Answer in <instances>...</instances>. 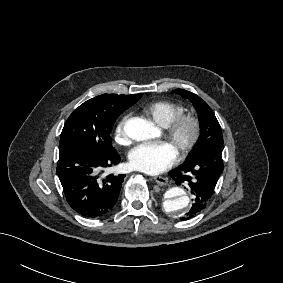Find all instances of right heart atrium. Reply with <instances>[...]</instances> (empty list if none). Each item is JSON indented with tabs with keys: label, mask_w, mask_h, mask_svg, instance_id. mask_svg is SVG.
<instances>
[{
	"label": "right heart atrium",
	"mask_w": 283,
	"mask_h": 283,
	"mask_svg": "<svg viewBox=\"0 0 283 283\" xmlns=\"http://www.w3.org/2000/svg\"><path fill=\"white\" fill-rule=\"evenodd\" d=\"M129 118L128 114H125L120 118V120L116 123L113 131L114 140L116 143L120 145H128L130 142L129 136L125 131V124Z\"/></svg>",
	"instance_id": "d8ad5b80"
}]
</instances>
